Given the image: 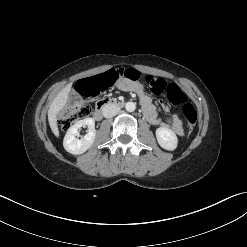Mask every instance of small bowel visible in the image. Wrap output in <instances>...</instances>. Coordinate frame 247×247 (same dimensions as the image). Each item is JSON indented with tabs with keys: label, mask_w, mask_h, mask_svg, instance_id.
Listing matches in <instances>:
<instances>
[{
	"label": "small bowel",
	"mask_w": 247,
	"mask_h": 247,
	"mask_svg": "<svg viewBox=\"0 0 247 247\" xmlns=\"http://www.w3.org/2000/svg\"><path fill=\"white\" fill-rule=\"evenodd\" d=\"M117 87L122 91L133 92L139 96L145 116L150 123L161 128L171 129L175 134L179 136L183 135V125L179 116L177 114H172L166 120L160 119L157 116L149 97L144 93L143 86L140 83L127 78H121L117 83Z\"/></svg>",
	"instance_id": "small-bowel-1"
}]
</instances>
